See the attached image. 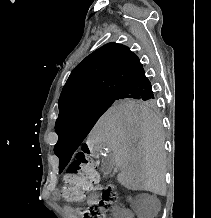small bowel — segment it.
<instances>
[{
	"instance_id": "c3829d8e",
	"label": "small bowel",
	"mask_w": 211,
	"mask_h": 218,
	"mask_svg": "<svg viewBox=\"0 0 211 218\" xmlns=\"http://www.w3.org/2000/svg\"><path fill=\"white\" fill-rule=\"evenodd\" d=\"M102 190V186L100 184H96L93 188L91 194L88 197V203H93L100 199L99 192ZM54 199L59 200L61 198V194L59 190H55L53 192ZM67 211L72 214L75 218H77L78 209L67 207ZM115 217L116 218H134V213L129 208H118L115 211Z\"/></svg>"
}]
</instances>
